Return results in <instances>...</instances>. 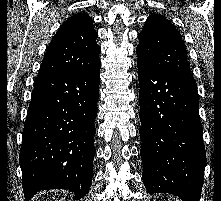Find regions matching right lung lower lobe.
<instances>
[{
	"label": "right lung lower lobe",
	"mask_w": 221,
	"mask_h": 201,
	"mask_svg": "<svg viewBox=\"0 0 221 201\" xmlns=\"http://www.w3.org/2000/svg\"><path fill=\"white\" fill-rule=\"evenodd\" d=\"M100 67L36 77L19 155L26 201L40 190L69 189L74 200L88 193Z\"/></svg>",
	"instance_id": "98d812e1"
}]
</instances>
